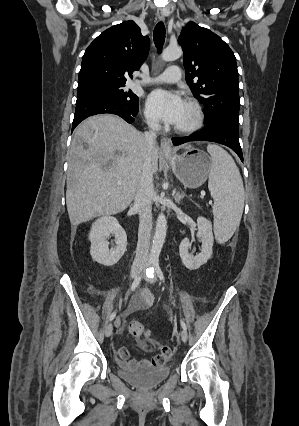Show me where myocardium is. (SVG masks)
<instances>
[{
	"mask_svg": "<svg viewBox=\"0 0 299 426\" xmlns=\"http://www.w3.org/2000/svg\"><path fill=\"white\" fill-rule=\"evenodd\" d=\"M185 103L193 108L194 120L189 126L186 127L175 126V131L180 134H191L203 126L205 121V114L201 104L196 99L188 98L186 99Z\"/></svg>",
	"mask_w": 299,
	"mask_h": 426,
	"instance_id": "f54148a6",
	"label": "myocardium"
}]
</instances>
